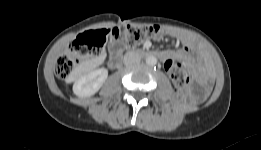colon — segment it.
I'll list each match as a JSON object with an SVG mask.
<instances>
[{
  "label": "colon",
  "mask_w": 261,
  "mask_h": 150,
  "mask_svg": "<svg viewBox=\"0 0 261 150\" xmlns=\"http://www.w3.org/2000/svg\"><path fill=\"white\" fill-rule=\"evenodd\" d=\"M160 32L157 26L124 25L109 29H98L79 35L60 56L56 62L55 73L60 79H67L76 66L82 62L99 56L104 49L107 39L122 40L127 46L133 47L142 41L156 37ZM168 73L174 83L183 87L188 82L184 66L177 60L167 63Z\"/></svg>",
  "instance_id": "1"
}]
</instances>
